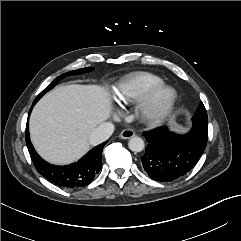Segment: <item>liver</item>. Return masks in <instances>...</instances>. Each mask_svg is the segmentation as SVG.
Here are the masks:
<instances>
[{"mask_svg":"<svg viewBox=\"0 0 241 241\" xmlns=\"http://www.w3.org/2000/svg\"><path fill=\"white\" fill-rule=\"evenodd\" d=\"M110 113L111 103L103 88L60 86L35 105L29 122L31 141L46 161L72 163L89 151V135Z\"/></svg>","mask_w":241,"mask_h":241,"instance_id":"6515ba94","label":"liver"}]
</instances>
